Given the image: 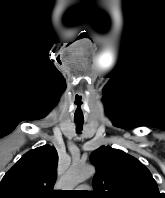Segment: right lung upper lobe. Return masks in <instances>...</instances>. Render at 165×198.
<instances>
[{
    "label": "right lung upper lobe",
    "instance_id": "cb5924a9",
    "mask_svg": "<svg viewBox=\"0 0 165 198\" xmlns=\"http://www.w3.org/2000/svg\"><path fill=\"white\" fill-rule=\"evenodd\" d=\"M58 154L50 145L30 150L0 182V198H48L54 194Z\"/></svg>",
    "mask_w": 165,
    "mask_h": 198
}]
</instances>
